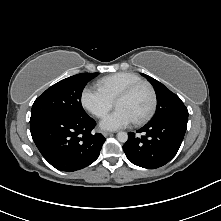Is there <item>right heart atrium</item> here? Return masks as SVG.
I'll use <instances>...</instances> for the list:
<instances>
[{"label":"right heart atrium","instance_id":"1","mask_svg":"<svg viewBox=\"0 0 221 221\" xmlns=\"http://www.w3.org/2000/svg\"><path fill=\"white\" fill-rule=\"evenodd\" d=\"M81 104L90 114L102 118L112 109L114 102L98 88L85 87L81 92Z\"/></svg>","mask_w":221,"mask_h":221}]
</instances>
